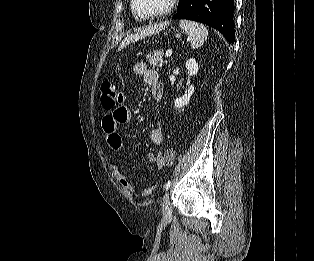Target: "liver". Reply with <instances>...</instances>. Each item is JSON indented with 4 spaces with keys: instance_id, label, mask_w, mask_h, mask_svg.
I'll list each match as a JSON object with an SVG mask.
<instances>
[{
    "instance_id": "obj_1",
    "label": "liver",
    "mask_w": 314,
    "mask_h": 261,
    "mask_svg": "<svg viewBox=\"0 0 314 261\" xmlns=\"http://www.w3.org/2000/svg\"><path fill=\"white\" fill-rule=\"evenodd\" d=\"M149 33L148 30H144L138 34H135V35H130L128 37H126L122 43L120 44L118 50L121 51L124 47H126L128 44H130L131 42H134V41H137L139 39H142L144 38L145 36H147Z\"/></svg>"
}]
</instances>
